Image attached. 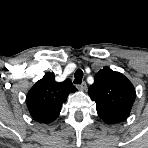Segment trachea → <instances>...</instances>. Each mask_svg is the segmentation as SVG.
I'll use <instances>...</instances> for the list:
<instances>
[{
  "instance_id": "obj_1",
  "label": "trachea",
  "mask_w": 148,
  "mask_h": 148,
  "mask_svg": "<svg viewBox=\"0 0 148 148\" xmlns=\"http://www.w3.org/2000/svg\"><path fill=\"white\" fill-rule=\"evenodd\" d=\"M74 84H81L83 79V71L81 69H77L74 74Z\"/></svg>"
}]
</instances>
